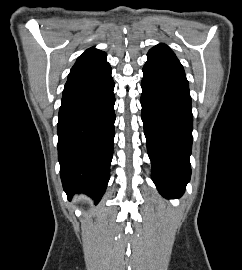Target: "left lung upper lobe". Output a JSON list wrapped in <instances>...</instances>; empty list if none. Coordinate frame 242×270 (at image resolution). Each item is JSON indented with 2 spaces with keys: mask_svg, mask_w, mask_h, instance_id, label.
I'll return each instance as SVG.
<instances>
[{
  "mask_svg": "<svg viewBox=\"0 0 242 270\" xmlns=\"http://www.w3.org/2000/svg\"><path fill=\"white\" fill-rule=\"evenodd\" d=\"M147 57L150 58H168L178 60L175 54L171 51V49L164 44H159L152 49L149 50Z\"/></svg>",
  "mask_w": 242,
  "mask_h": 270,
  "instance_id": "5c2ea615",
  "label": "left lung upper lobe"
}]
</instances>
